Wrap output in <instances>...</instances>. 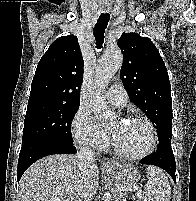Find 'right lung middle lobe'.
<instances>
[{
	"mask_svg": "<svg viewBox=\"0 0 196 201\" xmlns=\"http://www.w3.org/2000/svg\"><path fill=\"white\" fill-rule=\"evenodd\" d=\"M79 105L46 100L28 101L22 144L37 138L73 143L71 121Z\"/></svg>",
	"mask_w": 196,
	"mask_h": 201,
	"instance_id": "right-lung-middle-lobe-1",
	"label": "right lung middle lobe"
}]
</instances>
